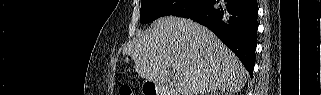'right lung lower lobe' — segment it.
<instances>
[{
  "label": "right lung lower lobe",
  "mask_w": 321,
  "mask_h": 95,
  "mask_svg": "<svg viewBox=\"0 0 321 95\" xmlns=\"http://www.w3.org/2000/svg\"><path fill=\"white\" fill-rule=\"evenodd\" d=\"M256 0H207L190 18L209 28L241 60L251 78L257 46Z\"/></svg>",
  "instance_id": "1"
}]
</instances>
